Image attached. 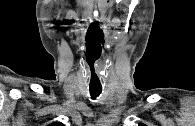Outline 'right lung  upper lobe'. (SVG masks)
Masks as SVG:
<instances>
[{
	"mask_svg": "<svg viewBox=\"0 0 195 126\" xmlns=\"http://www.w3.org/2000/svg\"><path fill=\"white\" fill-rule=\"evenodd\" d=\"M49 126H63L62 123H55V124H50Z\"/></svg>",
	"mask_w": 195,
	"mask_h": 126,
	"instance_id": "cb5924a9",
	"label": "right lung upper lobe"
}]
</instances>
